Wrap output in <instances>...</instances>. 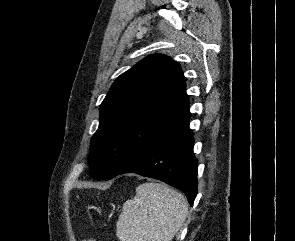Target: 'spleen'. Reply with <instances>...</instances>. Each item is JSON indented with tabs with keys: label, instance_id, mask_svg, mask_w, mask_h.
<instances>
[{
	"label": "spleen",
	"instance_id": "3e777b00",
	"mask_svg": "<svg viewBox=\"0 0 295 241\" xmlns=\"http://www.w3.org/2000/svg\"><path fill=\"white\" fill-rule=\"evenodd\" d=\"M188 213L185 198L165 184L147 182L124 203L116 224L120 241H171Z\"/></svg>",
	"mask_w": 295,
	"mask_h": 241
}]
</instances>
